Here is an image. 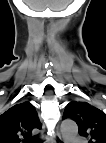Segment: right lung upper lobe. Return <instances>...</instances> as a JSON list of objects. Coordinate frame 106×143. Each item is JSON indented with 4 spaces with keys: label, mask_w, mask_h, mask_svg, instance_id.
<instances>
[{
    "label": "right lung upper lobe",
    "mask_w": 106,
    "mask_h": 143,
    "mask_svg": "<svg viewBox=\"0 0 106 143\" xmlns=\"http://www.w3.org/2000/svg\"><path fill=\"white\" fill-rule=\"evenodd\" d=\"M42 125L34 106L29 102L14 105L0 115V143H23L33 129Z\"/></svg>",
    "instance_id": "1"
}]
</instances>
